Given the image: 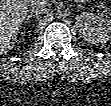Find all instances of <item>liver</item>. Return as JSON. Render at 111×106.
I'll list each match as a JSON object with an SVG mask.
<instances>
[{
    "label": "liver",
    "mask_w": 111,
    "mask_h": 106,
    "mask_svg": "<svg viewBox=\"0 0 111 106\" xmlns=\"http://www.w3.org/2000/svg\"><path fill=\"white\" fill-rule=\"evenodd\" d=\"M28 0L0 1V52L6 53L15 42L28 12Z\"/></svg>",
    "instance_id": "1"
}]
</instances>
